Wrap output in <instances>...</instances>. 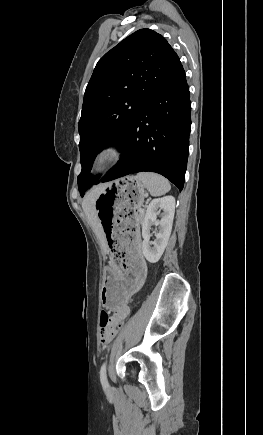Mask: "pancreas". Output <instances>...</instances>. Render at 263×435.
I'll list each match as a JSON object with an SVG mask.
<instances>
[{"label": "pancreas", "mask_w": 263, "mask_h": 435, "mask_svg": "<svg viewBox=\"0 0 263 435\" xmlns=\"http://www.w3.org/2000/svg\"><path fill=\"white\" fill-rule=\"evenodd\" d=\"M138 211H139V215H137V221H138L139 223H141L142 220H143V218H144V210H143V211H140V209H138Z\"/></svg>", "instance_id": "cf45deb5"}]
</instances>
